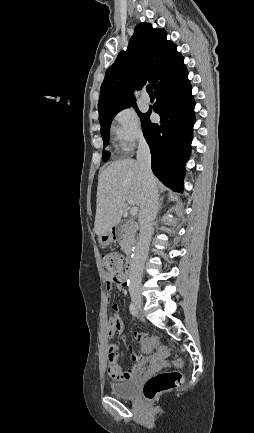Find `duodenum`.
<instances>
[{"mask_svg":"<svg viewBox=\"0 0 254 433\" xmlns=\"http://www.w3.org/2000/svg\"><path fill=\"white\" fill-rule=\"evenodd\" d=\"M122 223L115 225L111 228V235L113 238H117L119 236V233L121 231ZM127 268L129 271H132L133 268V259L130 255L127 256V259L125 261Z\"/></svg>","mask_w":254,"mask_h":433,"instance_id":"duodenum-1","label":"duodenum"}]
</instances>
